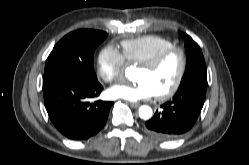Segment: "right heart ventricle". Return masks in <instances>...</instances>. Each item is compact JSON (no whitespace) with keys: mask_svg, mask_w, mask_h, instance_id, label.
<instances>
[{"mask_svg":"<svg viewBox=\"0 0 249 165\" xmlns=\"http://www.w3.org/2000/svg\"><path fill=\"white\" fill-rule=\"evenodd\" d=\"M173 42L159 35H144L121 42L122 54L129 63L143 64L161 51L173 46Z\"/></svg>","mask_w":249,"mask_h":165,"instance_id":"1","label":"right heart ventricle"}]
</instances>
